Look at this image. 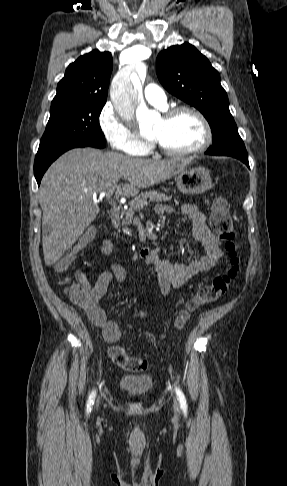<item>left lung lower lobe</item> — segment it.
Listing matches in <instances>:
<instances>
[{"label": "left lung lower lobe", "mask_w": 287, "mask_h": 486, "mask_svg": "<svg viewBox=\"0 0 287 486\" xmlns=\"http://www.w3.org/2000/svg\"><path fill=\"white\" fill-rule=\"evenodd\" d=\"M235 158H238L239 160H241L249 168L248 157H235Z\"/></svg>", "instance_id": "obj_1"}]
</instances>
